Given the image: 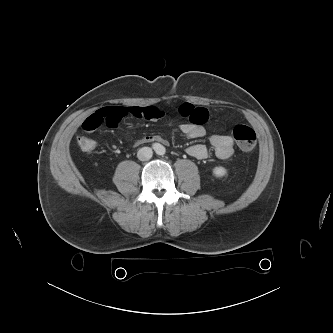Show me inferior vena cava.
I'll list each match as a JSON object with an SVG mask.
<instances>
[{"label": "inferior vena cava", "instance_id": "inferior-vena-cava-1", "mask_svg": "<svg viewBox=\"0 0 333 333\" xmlns=\"http://www.w3.org/2000/svg\"><path fill=\"white\" fill-rule=\"evenodd\" d=\"M152 155H153V151L150 147H143V148L139 149V151L137 153V157L141 161H147V160L151 159Z\"/></svg>", "mask_w": 333, "mask_h": 333}]
</instances>
